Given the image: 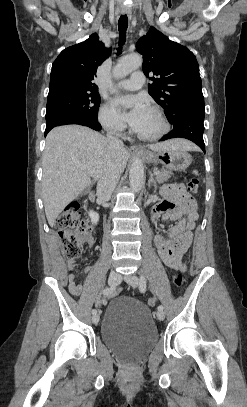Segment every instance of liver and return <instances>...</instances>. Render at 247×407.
<instances>
[{
    "instance_id": "obj_1",
    "label": "liver",
    "mask_w": 247,
    "mask_h": 407,
    "mask_svg": "<svg viewBox=\"0 0 247 407\" xmlns=\"http://www.w3.org/2000/svg\"><path fill=\"white\" fill-rule=\"evenodd\" d=\"M149 149L187 151L195 150L196 146L184 139H174L149 145ZM128 158L126 148L113 146L106 137L88 127L66 125L52 129L46 138L42 177L49 225L53 227L64 207L91 184V177L96 181L110 169L122 173Z\"/></svg>"
}]
</instances>
